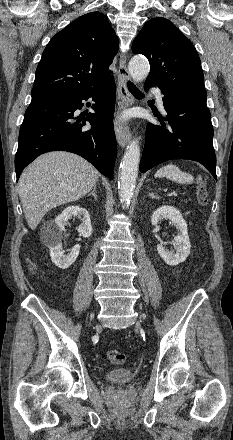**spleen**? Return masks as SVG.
<instances>
[{
  "label": "spleen",
  "instance_id": "3e777b00",
  "mask_svg": "<svg viewBox=\"0 0 233 440\" xmlns=\"http://www.w3.org/2000/svg\"><path fill=\"white\" fill-rule=\"evenodd\" d=\"M155 177L166 178L180 184H191L194 182V177L181 171L176 165L168 164L161 167L155 174Z\"/></svg>",
  "mask_w": 233,
  "mask_h": 440
}]
</instances>
